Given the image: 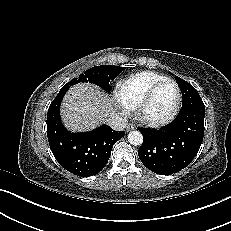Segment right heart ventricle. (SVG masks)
I'll list each match as a JSON object with an SVG mask.
<instances>
[{
    "mask_svg": "<svg viewBox=\"0 0 231 231\" xmlns=\"http://www.w3.org/2000/svg\"><path fill=\"white\" fill-rule=\"evenodd\" d=\"M165 77L152 71L136 73L120 83L118 97L128 108L137 106L143 95L157 82Z\"/></svg>",
    "mask_w": 231,
    "mask_h": 231,
    "instance_id": "e07e8e85",
    "label": "right heart ventricle"
}]
</instances>
